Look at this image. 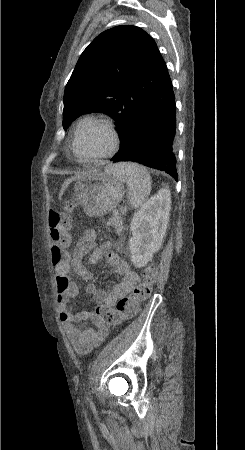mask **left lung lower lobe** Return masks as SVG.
I'll use <instances>...</instances> for the list:
<instances>
[{"instance_id":"1","label":"left lung lower lobe","mask_w":245,"mask_h":450,"mask_svg":"<svg viewBox=\"0 0 245 450\" xmlns=\"http://www.w3.org/2000/svg\"><path fill=\"white\" fill-rule=\"evenodd\" d=\"M176 104L167 72L157 90L142 107L126 145L111 161H134L165 171L176 181Z\"/></svg>"}]
</instances>
